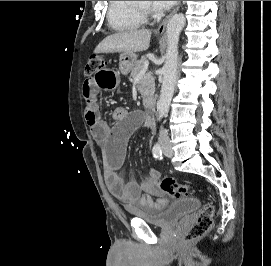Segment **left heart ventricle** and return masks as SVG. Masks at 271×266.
I'll list each match as a JSON object with an SVG mask.
<instances>
[{"label": "left heart ventricle", "instance_id": "1", "mask_svg": "<svg viewBox=\"0 0 271 266\" xmlns=\"http://www.w3.org/2000/svg\"><path fill=\"white\" fill-rule=\"evenodd\" d=\"M138 6H139V7H144V8H146V7L149 6V2H148V1H140V2L138 3Z\"/></svg>", "mask_w": 271, "mask_h": 266}]
</instances>
